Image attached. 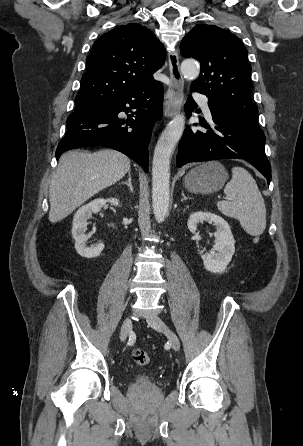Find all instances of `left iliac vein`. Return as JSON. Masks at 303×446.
I'll return each mask as SVG.
<instances>
[{"mask_svg": "<svg viewBox=\"0 0 303 446\" xmlns=\"http://www.w3.org/2000/svg\"><path fill=\"white\" fill-rule=\"evenodd\" d=\"M148 324L152 327V328H154V329H156V330H158V331H160V332H162V333H164L166 336H167V338H168V340H169V342H170V344H171V346H172V348L175 350V351H179V349H180V341H179V338L177 337V335L164 323V321L161 319V318H159L158 316H156V315H153V316H151L149 319H148Z\"/></svg>", "mask_w": 303, "mask_h": 446, "instance_id": "obj_1", "label": "left iliac vein"}]
</instances>
